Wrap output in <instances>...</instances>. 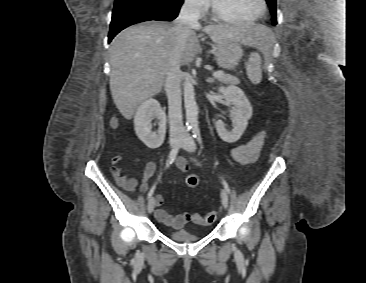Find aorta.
Wrapping results in <instances>:
<instances>
[{"label":"aorta","instance_id":"1","mask_svg":"<svg viewBox=\"0 0 366 283\" xmlns=\"http://www.w3.org/2000/svg\"><path fill=\"white\" fill-rule=\"evenodd\" d=\"M184 104L186 110V125L189 127L198 126V106L195 101V93L192 80L186 79L183 83Z\"/></svg>","mask_w":366,"mask_h":283}]
</instances>
